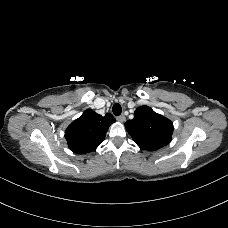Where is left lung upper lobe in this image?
Here are the masks:
<instances>
[{"label": "left lung upper lobe", "mask_w": 228, "mask_h": 228, "mask_svg": "<svg viewBox=\"0 0 228 228\" xmlns=\"http://www.w3.org/2000/svg\"><path fill=\"white\" fill-rule=\"evenodd\" d=\"M134 142L144 150L155 151L171 141L173 123L154 112L148 106H141L134 112V118L125 123Z\"/></svg>", "instance_id": "5c2ea615"}]
</instances>
